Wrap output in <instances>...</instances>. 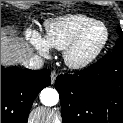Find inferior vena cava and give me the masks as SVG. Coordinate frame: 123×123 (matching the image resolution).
<instances>
[{"mask_svg": "<svg viewBox=\"0 0 123 123\" xmlns=\"http://www.w3.org/2000/svg\"><path fill=\"white\" fill-rule=\"evenodd\" d=\"M22 65L28 69L38 70L43 67L44 60L40 56L34 55L31 56L29 59L22 61Z\"/></svg>", "mask_w": 123, "mask_h": 123, "instance_id": "1", "label": "inferior vena cava"}]
</instances>
